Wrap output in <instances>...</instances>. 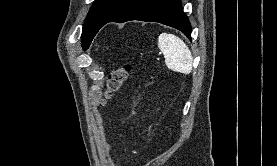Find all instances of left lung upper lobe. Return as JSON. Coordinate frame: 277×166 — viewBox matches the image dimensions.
I'll return each mask as SVG.
<instances>
[{
    "label": "left lung upper lobe",
    "instance_id": "5c2ea615",
    "mask_svg": "<svg viewBox=\"0 0 277 166\" xmlns=\"http://www.w3.org/2000/svg\"><path fill=\"white\" fill-rule=\"evenodd\" d=\"M133 1L135 0H96L83 26L81 37L83 49H88L96 33L109 19L122 11Z\"/></svg>",
    "mask_w": 277,
    "mask_h": 166
}]
</instances>
